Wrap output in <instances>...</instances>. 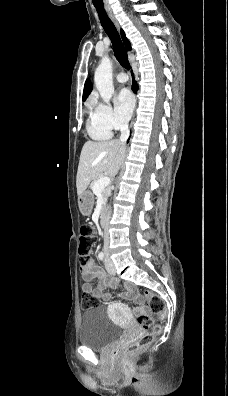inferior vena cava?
<instances>
[{"label":"inferior vena cava","instance_id":"1","mask_svg":"<svg viewBox=\"0 0 228 396\" xmlns=\"http://www.w3.org/2000/svg\"><path fill=\"white\" fill-rule=\"evenodd\" d=\"M120 131H121V136H120V141L122 143H125L126 140L129 137V126L128 122L125 121L120 125ZM109 220V215L107 216V222ZM109 251V233H108V228L105 227L104 229V252L105 254H108Z\"/></svg>","mask_w":228,"mask_h":396}]
</instances>
